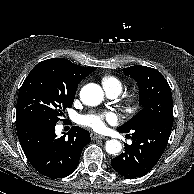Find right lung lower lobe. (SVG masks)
Masks as SVG:
<instances>
[{
  "label": "right lung lower lobe",
  "mask_w": 194,
  "mask_h": 194,
  "mask_svg": "<svg viewBox=\"0 0 194 194\" xmlns=\"http://www.w3.org/2000/svg\"><path fill=\"white\" fill-rule=\"evenodd\" d=\"M56 123L29 120L16 123L21 147L30 164L49 178H63L77 168L81 152L91 138L88 131L73 126L68 137L57 138Z\"/></svg>",
  "instance_id": "98d812e1"
}]
</instances>
